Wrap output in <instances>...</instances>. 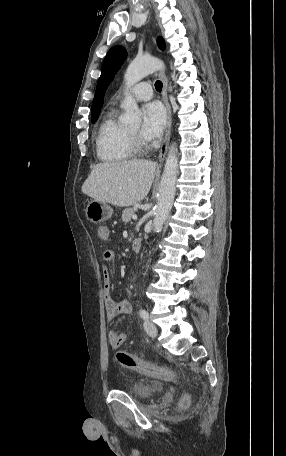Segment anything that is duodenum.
<instances>
[{"mask_svg": "<svg viewBox=\"0 0 286 456\" xmlns=\"http://www.w3.org/2000/svg\"><path fill=\"white\" fill-rule=\"evenodd\" d=\"M141 244H142L141 239L135 238V239L132 241V250H133L134 252H139L140 249H141Z\"/></svg>", "mask_w": 286, "mask_h": 456, "instance_id": "duodenum-1", "label": "duodenum"}]
</instances>
